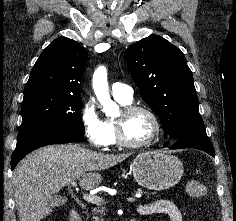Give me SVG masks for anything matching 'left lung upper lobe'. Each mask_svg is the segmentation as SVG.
Wrapping results in <instances>:
<instances>
[{"instance_id": "5c2ea615", "label": "left lung upper lobe", "mask_w": 236, "mask_h": 221, "mask_svg": "<svg viewBox=\"0 0 236 221\" xmlns=\"http://www.w3.org/2000/svg\"><path fill=\"white\" fill-rule=\"evenodd\" d=\"M125 60L143 99L159 115L167 135L177 138L189 132H206L192 72L179 48L152 35L127 49Z\"/></svg>"}]
</instances>
